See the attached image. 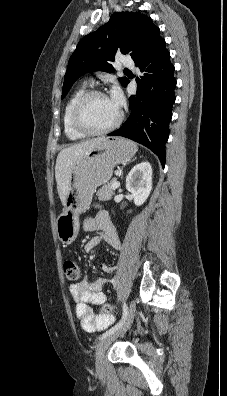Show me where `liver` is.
Returning <instances> with one entry per match:
<instances>
[{
  "label": "liver",
  "mask_w": 227,
  "mask_h": 396,
  "mask_svg": "<svg viewBox=\"0 0 227 396\" xmlns=\"http://www.w3.org/2000/svg\"><path fill=\"white\" fill-rule=\"evenodd\" d=\"M104 139L105 137H99L80 142L59 152L55 166V179L57 182L58 195L63 205H65L68 194L70 174L73 165Z\"/></svg>",
  "instance_id": "6515ba94"
}]
</instances>
